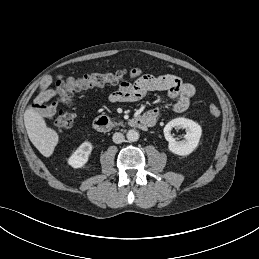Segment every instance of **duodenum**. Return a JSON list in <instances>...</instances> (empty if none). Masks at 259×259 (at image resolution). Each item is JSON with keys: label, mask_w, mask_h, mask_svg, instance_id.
<instances>
[{"label": "duodenum", "mask_w": 259, "mask_h": 259, "mask_svg": "<svg viewBox=\"0 0 259 259\" xmlns=\"http://www.w3.org/2000/svg\"><path fill=\"white\" fill-rule=\"evenodd\" d=\"M156 120L146 115L138 116L129 121V125L139 128L147 129L155 124ZM94 128L99 132H109L115 129V124L106 116H99L93 122Z\"/></svg>", "instance_id": "obj_1"}]
</instances>
